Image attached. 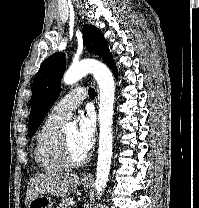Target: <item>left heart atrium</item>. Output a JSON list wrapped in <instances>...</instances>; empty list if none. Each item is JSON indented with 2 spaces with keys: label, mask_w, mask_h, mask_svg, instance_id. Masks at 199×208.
I'll use <instances>...</instances> for the list:
<instances>
[{
  "label": "left heart atrium",
  "mask_w": 199,
  "mask_h": 208,
  "mask_svg": "<svg viewBox=\"0 0 199 208\" xmlns=\"http://www.w3.org/2000/svg\"><path fill=\"white\" fill-rule=\"evenodd\" d=\"M77 145L84 152L88 153L92 148L95 136V123L90 114H82L78 118Z\"/></svg>",
  "instance_id": "39dd6f15"
}]
</instances>
